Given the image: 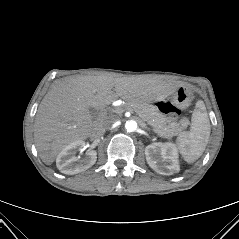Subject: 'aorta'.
I'll return each mask as SVG.
<instances>
[{
    "label": "aorta",
    "instance_id": "762f6f07",
    "mask_svg": "<svg viewBox=\"0 0 239 239\" xmlns=\"http://www.w3.org/2000/svg\"><path fill=\"white\" fill-rule=\"evenodd\" d=\"M138 128V124L135 120H128L125 123V129L127 132H135Z\"/></svg>",
    "mask_w": 239,
    "mask_h": 239
}]
</instances>
